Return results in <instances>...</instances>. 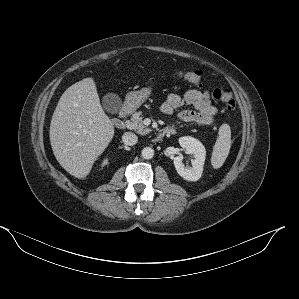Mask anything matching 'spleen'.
<instances>
[{"mask_svg":"<svg viewBox=\"0 0 299 299\" xmlns=\"http://www.w3.org/2000/svg\"><path fill=\"white\" fill-rule=\"evenodd\" d=\"M218 138L213 147L211 156V164L214 169L220 168L230 151L231 147V129L228 124H222L218 131Z\"/></svg>","mask_w":299,"mask_h":299,"instance_id":"spleen-1","label":"spleen"}]
</instances>
